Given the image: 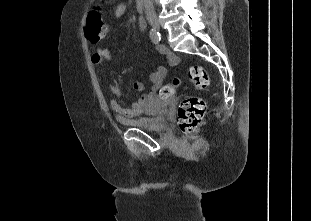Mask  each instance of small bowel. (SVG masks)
Wrapping results in <instances>:
<instances>
[{"label": "small bowel", "mask_w": 311, "mask_h": 221, "mask_svg": "<svg viewBox=\"0 0 311 221\" xmlns=\"http://www.w3.org/2000/svg\"><path fill=\"white\" fill-rule=\"evenodd\" d=\"M125 10V6L123 4H118L114 11V17H120ZM140 28V27H139ZM143 29V28H141ZM159 51L165 56L166 60L170 63L175 61V56L170 53L165 47H159ZM92 61L95 65H97L103 75L105 76L108 84V90L112 98L110 99V107L112 111L115 113L117 118H132L143 113L147 102L152 98L154 92L158 90L162 86V83L167 75V69L164 65L159 66L155 71L150 73V81L153 84L152 92L147 95L141 96L139 99L134 101L129 107H124L121 104L122 99V92L121 89L116 81L110 74H108L105 69L104 65L107 63L113 62V57L106 47H99L96 49L92 56ZM136 90H143L144 85L142 83H135Z\"/></svg>", "instance_id": "obj_1"}]
</instances>
